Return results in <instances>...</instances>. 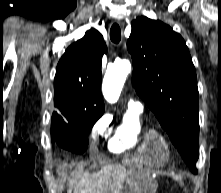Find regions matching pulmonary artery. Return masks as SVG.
Listing matches in <instances>:
<instances>
[{
    "label": "pulmonary artery",
    "instance_id": "1",
    "mask_svg": "<svg viewBox=\"0 0 221 193\" xmlns=\"http://www.w3.org/2000/svg\"><path fill=\"white\" fill-rule=\"evenodd\" d=\"M128 107L129 109L135 110L140 112L142 110V103L135 100V99H130L129 103H128Z\"/></svg>",
    "mask_w": 221,
    "mask_h": 193
}]
</instances>
